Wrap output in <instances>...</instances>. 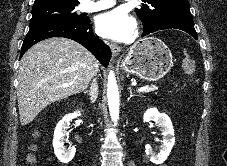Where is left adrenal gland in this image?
<instances>
[{
    "label": "left adrenal gland",
    "instance_id": "1",
    "mask_svg": "<svg viewBox=\"0 0 227 166\" xmlns=\"http://www.w3.org/2000/svg\"><path fill=\"white\" fill-rule=\"evenodd\" d=\"M128 89H129V92H130V96L128 97L127 100L129 101L132 97H134V95H133V93H132V88L129 87Z\"/></svg>",
    "mask_w": 227,
    "mask_h": 166
}]
</instances>
